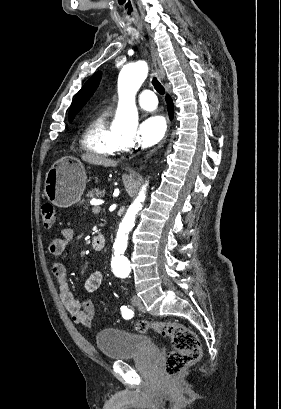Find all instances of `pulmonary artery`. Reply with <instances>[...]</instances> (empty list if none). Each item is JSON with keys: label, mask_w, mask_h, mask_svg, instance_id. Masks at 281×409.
I'll return each instance as SVG.
<instances>
[{"label": "pulmonary artery", "mask_w": 281, "mask_h": 409, "mask_svg": "<svg viewBox=\"0 0 281 409\" xmlns=\"http://www.w3.org/2000/svg\"><path fill=\"white\" fill-rule=\"evenodd\" d=\"M141 97V100H138L141 108L145 110H153L156 108L157 105L154 103L158 102V95L154 94L153 90H142Z\"/></svg>", "instance_id": "obj_1"}]
</instances>
